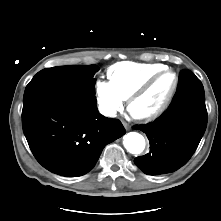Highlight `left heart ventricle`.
I'll use <instances>...</instances> for the list:
<instances>
[{
    "instance_id": "1",
    "label": "left heart ventricle",
    "mask_w": 221,
    "mask_h": 221,
    "mask_svg": "<svg viewBox=\"0 0 221 221\" xmlns=\"http://www.w3.org/2000/svg\"><path fill=\"white\" fill-rule=\"evenodd\" d=\"M174 83V76L171 73L161 77L152 89L132 107L134 114H149L156 111L165 101Z\"/></svg>"
}]
</instances>
